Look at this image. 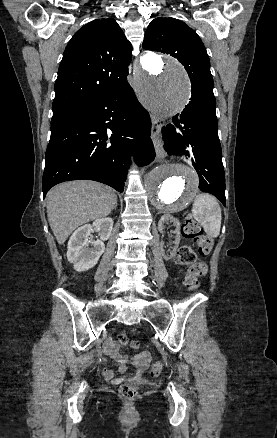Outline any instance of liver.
Instances as JSON below:
<instances>
[{
	"mask_svg": "<svg viewBox=\"0 0 277 438\" xmlns=\"http://www.w3.org/2000/svg\"><path fill=\"white\" fill-rule=\"evenodd\" d=\"M46 202L50 228L58 244H64L78 226L109 216L117 204V196L98 182L76 180L54 186Z\"/></svg>",
	"mask_w": 277,
	"mask_h": 438,
	"instance_id": "liver-1",
	"label": "liver"
}]
</instances>
